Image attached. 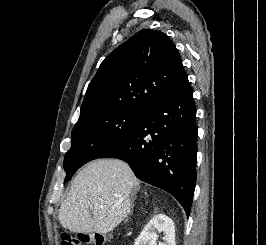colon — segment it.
<instances>
[{
  "label": "colon",
  "mask_w": 266,
  "mask_h": 245,
  "mask_svg": "<svg viewBox=\"0 0 266 245\" xmlns=\"http://www.w3.org/2000/svg\"><path fill=\"white\" fill-rule=\"evenodd\" d=\"M105 238L100 233L71 235L64 232L60 235L59 245H102Z\"/></svg>",
  "instance_id": "obj_1"
}]
</instances>
